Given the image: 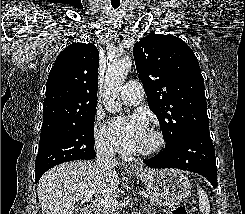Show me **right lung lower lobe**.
<instances>
[{"mask_svg": "<svg viewBox=\"0 0 245 214\" xmlns=\"http://www.w3.org/2000/svg\"><path fill=\"white\" fill-rule=\"evenodd\" d=\"M95 155H96V153H95V151H94V152H93V157H92V159L95 158ZM43 174H44V172H42V173H35V183H37V182L39 181L40 177H41Z\"/></svg>", "mask_w": 245, "mask_h": 214, "instance_id": "obj_1", "label": "right lung lower lobe"}]
</instances>
